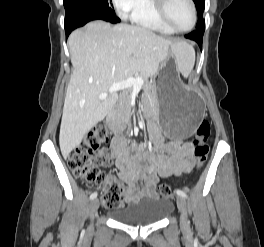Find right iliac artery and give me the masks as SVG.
<instances>
[{"label": "right iliac artery", "instance_id": "obj_1", "mask_svg": "<svg viewBox=\"0 0 264 247\" xmlns=\"http://www.w3.org/2000/svg\"><path fill=\"white\" fill-rule=\"evenodd\" d=\"M96 197H97V193H96V192H94V193H92V194L90 195V199H91V200L95 199Z\"/></svg>", "mask_w": 264, "mask_h": 247}]
</instances>
